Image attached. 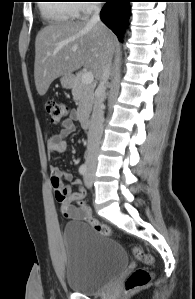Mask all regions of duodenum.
Returning a JSON list of instances; mask_svg holds the SVG:
<instances>
[{
  "label": "duodenum",
  "instance_id": "obj_1",
  "mask_svg": "<svg viewBox=\"0 0 195 299\" xmlns=\"http://www.w3.org/2000/svg\"><path fill=\"white\" fill-rule=\"evenodd\" d=\"M78 118H79V120H80L83 127L87 128V127L90 126L91 120H90L89 115L84 114V113H80L78 115Z\"/></svg>",
  "mask_w": 195,
  "mask_h": 299
}]
</instances>
